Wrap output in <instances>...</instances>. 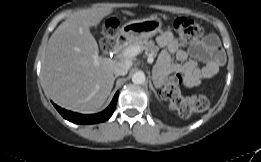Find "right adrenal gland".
<instances>
[{"label":"right adrenal gland","mask_w":261,"mask_h":162,"mask_svg":"<svg viewBox=\"0 0 261 162\" xmlns=\"http://www.w3.org/2000/svg\"><path fill=\"white\" fill-rule=\"evenodd\" d=\"M117 78H118V76H115V77H114V80H116Z\"/></svg>","instance_id":"obj_1"}]
</instances>
